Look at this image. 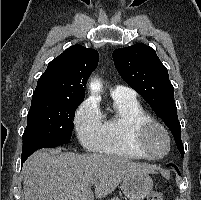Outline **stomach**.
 <instances>
[{"instance_id":"0dacf381","label":"stomach","mask_w":201,"mask_h":200,"mask_svg":"<svg viewBox=\"0 0 201 200\" xmlns=\"http://www.w3.org/2000/svg\"><path fill=\"white\" fill-rule=\"evenodd\" d=\"M153 188V180L147 173H134L123 178L121 189L130 200H143Z\"/></svg>"}]
</instances>
